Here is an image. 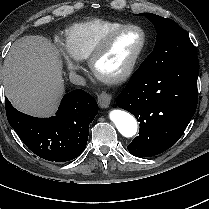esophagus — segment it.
<instances>
[{"instance_id":"1","label":"esophagus","mask_w":209,"mask_h":209,"mask_svg":"<svg viewBox=\"0 0 209 209\" xmlns=\"http://www.w3.org/2000/svg\"><path fill=\"white\" fill-rule=\"evenodd\" d=\"M110 102H111V96L108 93L102 92L98 96V103L101 108H107L110 105Z\"/></svg>"}]
</instances>
